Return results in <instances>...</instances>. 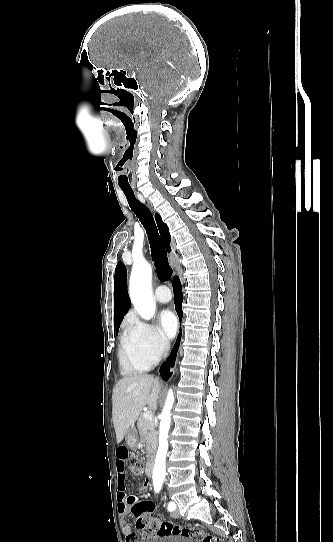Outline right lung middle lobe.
Returning <instances> with one entry per match:
<instances>
[{
	"instance_id": "right-lung-middle-lobe-1",
	"label": "right lung middle lobe",
	"mask_w": 333,
	"mask_h": 542,
	"mask_svg": "<svg viewBox=\"0 0 333 542\" xmlns=\"http://www.w3.org/2000/svg\"><path fill=\"white\" fill-rule=\"evenodd\" d=\"M119 327H120V326L115 327L116 334H118V329H119Z\"/></svg>"
}]
</instances>
